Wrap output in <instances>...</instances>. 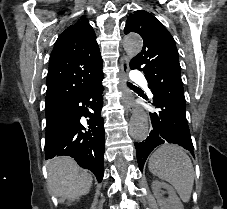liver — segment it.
<instances>
[{
	"instance_id": "liver-1",
	"label": "liver",
	"mask_w": 227,
	"mask_h": 209,
	"mask_svg": "<svg viewBox=\"0 0 227 209\" xmlns=\"http://www.w3.org/2000/svg\"><path fill=\"white\" fill-rule=\"evenodd\" d=\"M47 171L48 191L54 197L76 199L80 195H87L92 187V175L80 169L76 161L70 157L51 159L47 165Z\"/></svg>"
}]
</instances>
